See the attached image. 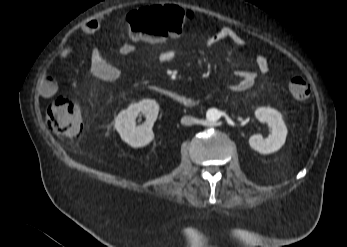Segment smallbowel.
<instances>
[{"label":"small bowel","instance_id":"obj_1","mask_svg":"<svg viewBox=\"0 0 347 247\" xmlns=\"http://www.w3.org/2000/svg\"><path fill=\"white\" fill-rule=\"evenodd\" d=\"M103 25L101 19H90L81 25L80 31L85 35H92L96 33ZM180 34L171 35V37H179ZM132 42H123L119 47V52L124 56L132 55L136 52V47ZM223 41H229L233 46L242 48L246 45L243 36L231 27H221L214 34L205 40L206 46H213ZM71 47L66 43L60 50L58 59L60 61L66 60L71 55ZM175 57V51L166 49L159 53L158 60L161 63H169ZM255 64L258 71L265 73L269 70V61L263 56L259 55L255 59ZM90 71L92 75L106 82L116 81L122 76V69L114 64L109 63L100 50H96L92 54ZM235 82L228 85L229 89L234 92H242L254 86L257 74L254 71H242L241 73L234 74ZM39 91L42 96L50 97L56 93L58 86L52 76L48 73H43L38 80Z\"/></svg>","mask_w":347,"mask_h":247}]
</instances>
